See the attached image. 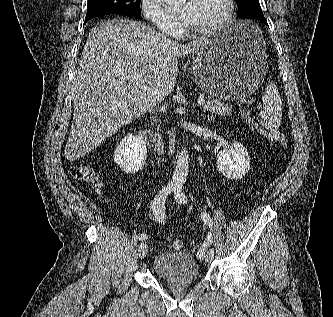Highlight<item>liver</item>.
<instances>
[{
  "mask_svg": "<svg viewBox=\"0 0 333 317\" xmlns=\"http://www.w3.org/2000/svg\"><path fill=\"white\" fill-rule=\"evenodd\" d=\"M206 38L180 44L128 19L95 26L73 78L74 114L65 158H82L163 101L176 84L177 57L197 53Z\"/></svg>",
  "mask_w": 333,
  "mask_h": 317,
  "instance_id": "6515ba94",
  "label": "liver"
}]
</instances>
